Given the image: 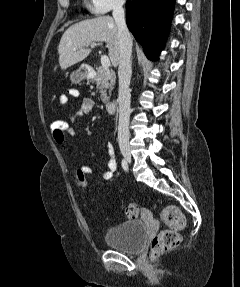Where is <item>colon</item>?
Returning a JSON list of instances; mask_svg holds the SVG:
<instances>
[{"mask_svg":"<svg viewBox=\"0 0 240 287\" xmlns=\"http://www.w3.org/2000/svg\"><path fill=\"white\" fill-rule=\"evenodd\" d=\"M69 127V121L65 118H57L50 122L52 135L56 139H63ZM76 181L80 187H85L87 184L85 175L79 171H77ZM125 215L128 219H136L139 215L138 205L130 203L125 209ZM161 218L168 228L158 233L152 240L150 247V258L152 260L179 246L181 242L179 231L182 230L186 224L183 213L174 205L163 207L161 210Z\"/></svg>","mask_w":240,"mask_h":287,"instance_id":"obj_1","label":"colon"}]
</instances>
